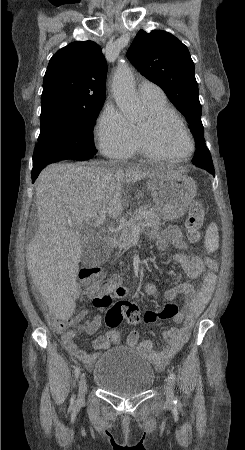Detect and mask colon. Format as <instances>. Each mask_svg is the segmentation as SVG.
<instances>
[{
    "instance_id": "obj_1",
    "label": "colon",
    "mask_w": 245,
    "mask_h": 450,
    "mask_svg": "<svg viewBox=\"0 0 245 450\" xmlns=\"http://www.w3.org/2000/svg\"><path fill=\"white\" fill-rule=\"evenodd\" d=\"M206 217V208L199 200H194L191 203L189 214L185 220L186 236L189 242L197 243L200 240V231L203 222ZM208 269L215 272L218 267V263L215 258H205ZM80 280L84 289L93 290L100 289L105 294V298H97L95 300V306L105 309V322L106 325L114 329L119 326L123 320L130 325H140L142 322L138 308L129 301H116L113 302L108 292L112 290V285L104 283V272L98 266H88L82 269L80 273ZM179 314V309L175 304L165 303L158 307L148 311L144 316L145 323H153L160 319L175 318ZM47 322L59 331H67V336H70L73 332L71 329L72 323L68 319H64L56 314H48L46 316ZM108 338L117 342L120 338L119 333L115 330L108 332Z\"/></svg>"
}]
</instances>
